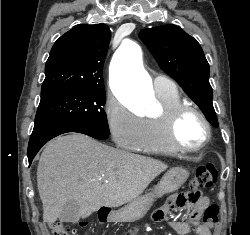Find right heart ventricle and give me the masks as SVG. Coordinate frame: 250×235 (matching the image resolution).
I'll list each match as a JSON object with an SVG mask.
<instances>
[{"label":"right heart ventricle","instance_id":"e07e8e85","mask_svg":"<svg viewBox=\"0 0 250 235\" xmlns=\"http://www.w3.org/2000/svg\"><path fill=\"white\" fill-rule=\"evenodd\" d=\"M155 95L162 106V111H167L182 103L177 90L171 93L155 92ZM143 124V140L136 150L153 154H175L178 152L167 140L165 120L161 113L155 117H146L143 119Z\"/></svg>","mask_w":250,"mask_h":235}]
</instances>
